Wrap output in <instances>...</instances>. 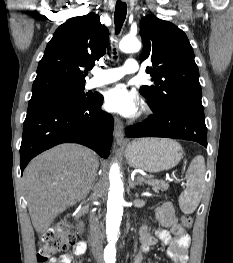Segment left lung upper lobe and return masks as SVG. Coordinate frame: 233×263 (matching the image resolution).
<instances>
[{"label":"left lung upper lobe","instance_id":"1","mask_svg":"<svg viewBox=\"0 0 233 263\" xmlns=\"http://www.w3.org/2000/svg\"><path fill=\"white\" fill-rule=\"evenodd\" d=\"M140 35V60H151L153 67L146 70L155 84L142 86L140 92L153 113L177 104L202 106L199 71L186 34L168 21L147 15L140 22Z\"/></svg>","mask_w":233,"mask_h":263}]
</instances>
